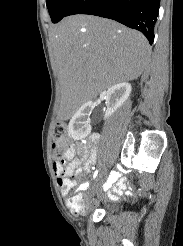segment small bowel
I'll return each instance as SVG.
<instances>
[{
	"label": "small bowel",
	"mask_w": 183,
	"mask_h": 246,
	"mask_svg": "<svg viewBox=\"0 0 183 246\" xmlns=\"http://www.w3.org/2000/svg\"><path fill=\"white\" fill-rule=\"evenodd\" d=\"M99 136L92 135L88 141L80 148L75 144H70L67 147L65 160L68 162L64 165L61 162L55 161L53 164L54 173L57 177V183L64 196H68L71 189L73 188V183L69 178H72L74 174H81L82 172H90L93 160L97 156V145L99 143ZM80 149L82 154V159L75 157L77 150ZM81 161H84L83 166H81ZM125 179L129 178L128 174L124 175ZM111 179L105 180V184H102V189H106L107 195L110 199H117L126 189H133V184H126L122 179V174H120V169H111ZM118 179V180H117ZM89 184L87 182L82 183L78 187L79 193L77 195H82V192L88 189ZM127 198H134V193H127ZM73 197L68 198V205L74 213H80L72 208L71 201Z\"/></svg>",
	"instance_id": "small-bowel-1"
}]
</instances>
